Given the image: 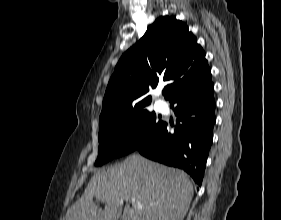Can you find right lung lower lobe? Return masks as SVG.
<instances>
[{
  "instance_id": "obj_1",
  "label": "right lung lower lobe",
  "mask_w": 281,
  "mask_h": 220,
  "mask_svg": "<svg viewBox=\"0 0 281 220\" xmlns=\"http://www.w3.org/2000/svg\"><path fill=\"white\" fill-rule=\"evenodd\" d=\"M213 88L209 81L174 96L170 104H176L177 129L172 133L163 122L158 131L135 151L154 161L183 169L201 186L213 140Z\"/></svg>"
}]
</instances>
